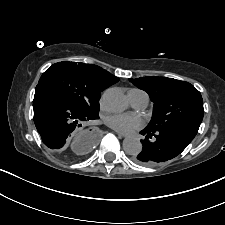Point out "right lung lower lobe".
<instances>
[{"instance_id":"1","label":"right lung lower lobe","mask_w":225,"mask_h":225,"mask_svg":"<svg viewBox=\"0 0 225 225\" xmlns=\"http://www.w3.org/2000/svg\"><path fill=\"white\" fill-rule=\"evenodd\" d=\"M34 123L43 143L62 151L81 123L97 118L84 113L61 94L46 86H37L33 100ZM95 143L89 136L88 147Z\"/></svg>"}]
</instances>
